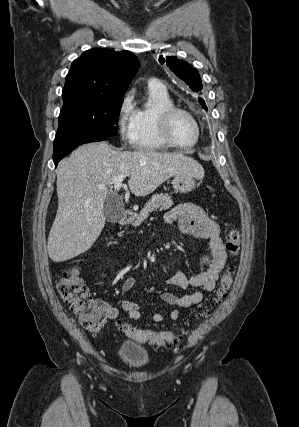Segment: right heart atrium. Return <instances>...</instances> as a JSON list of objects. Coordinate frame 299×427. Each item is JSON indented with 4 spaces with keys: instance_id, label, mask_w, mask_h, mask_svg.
Instances as JSON below:
<instances>
[{
    "instance_id": "right-heart-atrium-1",
    "label": "right heart atrium",
    "mask_w": 299,
    "mask_h": 427,
    "mask_svg": "<svg viewBox=\"0 0 299 427\" xmlns=\"http://www.w3.org/2000/svg\"><path fill=\"white\" fill-rule=\"evenodd\" d=\"M116 123L121 140L126 144H134L136 136V108L130 92L122 97L118 105Z\"/></svg>"
}]
</instances>
